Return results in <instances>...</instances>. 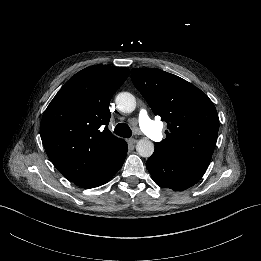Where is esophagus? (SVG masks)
I'll list each match as a JSON object with an SVG mask.
<instances>
[{"label": "esophagus", "mask_w": 261, "mask_h": 261, "mask_svg": "<svg viewBox=\"0 0 261 261\" xmlns=\"http://www.w3.org/2000/svg\"><path fill=\"white\" fill-rule=\"evenodd\" d=\"M137 141L138 140L134 139V138L128 140V142L131 143V144H135V143H137Z\"/></svg>", "instance_id": "esophagus-1"}]
</instances>
